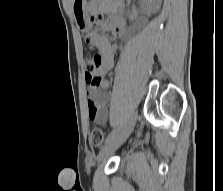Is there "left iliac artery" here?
I'll return each mask as SVG.
<instances>
[{
  "instance_id": "44dca946",
  "label": "left iliac artery",
  "mask_w": 223,
  "mask_h": 191,
  "mask_svg": "<svg viewBox=\"0 0 223 191\" xmlns=\"http://www.w3.org/2000/svg\"><path fill=\"white\" fill-rule=\"evenodd\" d=\"M120 127H117L116 129H114L106 138V143L109 142L111 139H113L116 134L119 132Z\"/></svg>"
}]
</instances>
